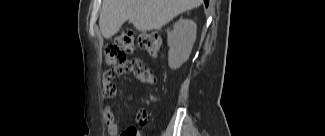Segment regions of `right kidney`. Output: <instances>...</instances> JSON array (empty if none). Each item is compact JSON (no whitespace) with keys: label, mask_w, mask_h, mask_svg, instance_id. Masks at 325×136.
I'll list each match as a JSON object with an SVG mask.
<instances>
[{"label":"right kidney","mask_w":325,"mask_h":136,"mask_svg":"<svg viewBox=\"0 0 325 136\" xmlns=\"http://www.w3.org/2000/svg\"><path fill=\"white\" fill-rule=\"evenodd\" d=\"M197 25L194 21L180 19L168 32V64L171 69H178L189 58L196 40Z\"/></svg>","instance_id":"ca27d5eb"}]
</instances>
